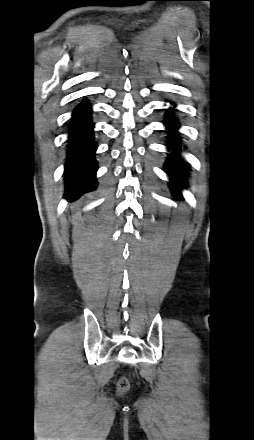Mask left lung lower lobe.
<instances>
[{"mask_svg": "<svg viewBox=\"0 0 254 440\" xmlns=\"http://www.w3.org/2000/svg\"><path fill=\"white\" fill-rule=\"evenodd\" d=\"M173 110L174 109L169 108L168 112H166V117L163 122L167 127V133L169 135L168 147L173 150V153L168 155L164 167L165 172L172 177L173 184L169 186L172 190V193L177 199L181 200L182 197L179 190H181L183 187H187L185 176L189 169V165L184 164L183 160L179 156V152L181 150V141L177 132L179 123L176 118L170 115Z\"/></svg>", "mask_w": 254, "mask_h": 440, "instance_id": "0a47b994", "label": "left lung lower lobe"}]
</instances>
